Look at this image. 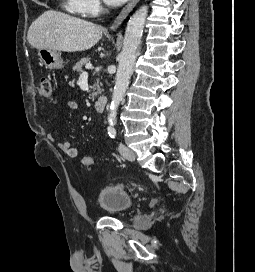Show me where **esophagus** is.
Wrapping results in <instances>:
<instances>
[{
	"mask_svg": "<svg viewBox=\"0 0 255 272\" xmlns=\"http://www.w3.org/2000/svg\"><path fill=\"white\" fill-rule=\"evenodd\" d=\"M139 0H130L128 4L121 10V12L118 14L114 22L112 23L110 29L115 30L117 29L121 23L124 21V19L128 16V14L132 11V9L135 7Z\"/></svg>",
	"mask_w": 255,
	"mask_h": 272,
	"instance_id": "esophagus-1",
	"label": "esophagus"
}]
</instances>
